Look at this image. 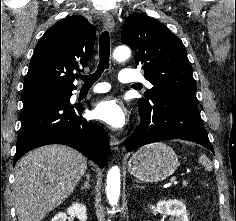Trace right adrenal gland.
<instances>
[{
    "label": "right adrenal gland",
    "mask_w": 236,
    "mask_h": 221,
    "mask_svg": "<svg viewBox=\"0 0 236 221\" xmlns=\"http://www.w3.org/2000/svg\"><path fill=\"white\" fill-rule=\"evenodd\" d=\"M90 188V175L86 174V181L84 182V184L81 186V190L84 189H89Z\"/></svg>",
    "instance_id": "right-adrenal-gland-1"
}]
</instances>
